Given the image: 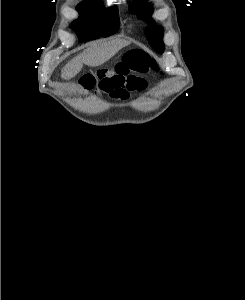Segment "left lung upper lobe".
I'll use <instances>...</instances> for the list:
<instances>
[{"mask_svg":"<svg viewBox=\"0 0 245 300\" xmlns=\"http://www.w3.org/2000/svg\"><path fill=\"white\" fill-rule=\"evenodd\" d=\"M132 13H138L139 18L145 19V21L154 24L151 21V15L154 8L150 2L147 0H137L134 1L129 7ZM145 36L147 37L150 45L159 53H162L164 50L163 44V28L161 26L149 27L145 30Z\"/></svg>","mask_w":245,"mask_h":300,"instance_id":"obj_1","label":"left lung upper lobe"}]
</instances>
